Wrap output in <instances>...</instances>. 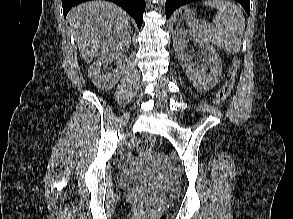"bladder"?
Wrapping results in <instances>:
<instances>
[{
	"label": "bladder",
	"instance_id": "bladder-1",
	"mask_svg": "<svg viewBox=\"0 0 293 219\" xmlns=\"http://www.w3.org/2000/svg\"><path fill=\"white\" fill-rule=\"evenodd\" d=\"M144 156L148 157L149 155H148V153H145ZM122 184L127 187H136V186L146 185V186L153 188L158 194H160L162 196H165L167 194V191L164 190L163 188H161L160 186L155 185V184L148 182V181H145V180L134 178V177L123 179Z\"/></svg>",
	"mask_w": 293,
	"mask_h": 219
}]
</instances>
